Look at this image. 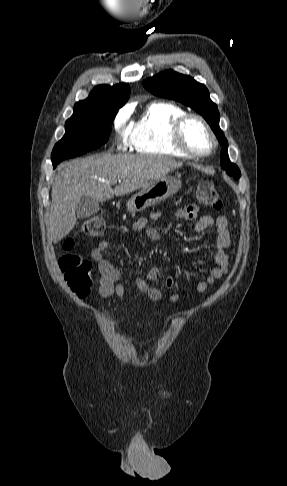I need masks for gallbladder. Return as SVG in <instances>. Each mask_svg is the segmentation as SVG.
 I'll return each instance as SVG.
<instances>
[{"label": "gallbladder", "instance_id": "gallbladder-1", "mask_svg": "<svg viewBox=\"0 0 287 486\" xmlns=\"http://www.w3.org/2000/svg\"><path fill=\"white\" fill-rule=\"evenodd\" d=\"M100 210L99 202L84 196L77 203L76 215L79 219H86L95 215Z\"/></svg>", "mask_w": 287, "mask_h": 486}]
</instances>
